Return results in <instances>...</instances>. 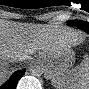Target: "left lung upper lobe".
I'll return each instance as SVG.
<instances>
[{
	"label": "left lung upper lobe",
	"mask_w": 89,
	"mask_h": 89,
	"mask_svg": "<svg viewBox=\"0 0 89 89\" xmlns=\"http://www.w3.org/2000/svg\"><path fill=\"white\" fill-rule=\"evenodd\" d=\"M68 24H69L70 26H74V25H76V26L87 25V26H88V24H87L86 22H83V21H80V20L68 21ZM88 27H89V26H88Z\"/></svg>",
	"instance_id": "left-lung-upper-lobe-1"
}]
</instances>
